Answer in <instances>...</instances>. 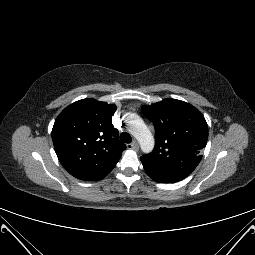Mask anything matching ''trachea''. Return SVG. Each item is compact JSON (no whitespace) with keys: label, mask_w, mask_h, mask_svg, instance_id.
Here are the masks:
<instances>
[{"label":"trachea","mask_w":255,"mask_h":255,"mask_svg":"<svg viewBox=\"0 0 255 255\" xmlns=\"http://www.w3.org/2000/svg\"><path fill=\"white\" fill-rule=\"evenodd\" d=\"M120 140L124 143H131L132 138H131L130 134H128L127 132H123L120 135Z\"/></svg>","instance_id":"1"}]
</instances>
